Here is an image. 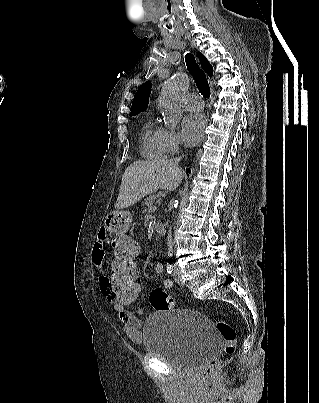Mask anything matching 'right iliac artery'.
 <instances>
[{
  "mask_svg": "<svg viewBox=\"0 0 319 403\" xmlns=\"http://www.w3.org/2000/svg\"><path fill=\"white\" fill-rule=\"evenodd\" d=\"M166 270H167V273L171 274L172 271H173V265L172 264H167Z\"/></svg>",
  "mask_w": 319,
  "mask_h": 403,
  "instance_id": "82829eb1",
  "label": "right iliac artery"
}]
</instances>
